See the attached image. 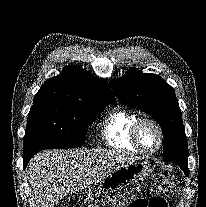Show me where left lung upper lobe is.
I'll return each instance as SVG.
<instances>
[{
	"mask_svg": "<svg viewBox=\"0 0 206 207\" xmlns=\"http://www.w3.org/2000/svg\"><path fill=\"white\" fill-rule=\"evenodd\" d=\"M110 85L122 104L146 112L161 125L163 158L178 164L188 176L187 139L173 87L160 76L143 74L136 68Z\"/></svg>",
	"mask_w": 206,
	"mask_h": 207,
	"instance_id": "5c2ea615",
	"label": "left lung upper lobe"
}]
</instances>
